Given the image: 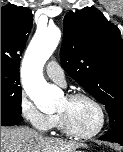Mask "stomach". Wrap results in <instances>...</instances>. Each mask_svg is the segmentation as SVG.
<instances>
[{"instance_id":"stomach-1","label":"stomach","mask_w":123,"mask_h":152,"mask_svg":"<svg viewBox=\"0 0 123 152\" xmlns=\"http://www.w3.org/2000/svg\"><path fill=\"white\" fill-rule=\"evenodd\" d=\"M73 152H84V151H81V150H75V151H73Z\"/></svg>"}]
</instances>
